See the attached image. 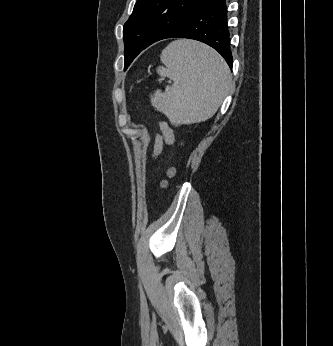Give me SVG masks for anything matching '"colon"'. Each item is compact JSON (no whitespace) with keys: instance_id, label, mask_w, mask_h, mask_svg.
I'll return each mask as SVG.
<instances>
[{"instance_id":"5ec220e1","label":"colon","mask_w":333,"mask_h":346,"mask_svg":"<svg viewBox=\"0 0 333 346\" xmlns=\"http://www.w3.org/2000/svg\"><path fill=\"white\" fill-rule=\"evenodd\" d=\"M167 175H168V177H171L173 175V170H169ZM165 186H166V182H163L162 187H165Z\"/></svg>"}]
</instances>
